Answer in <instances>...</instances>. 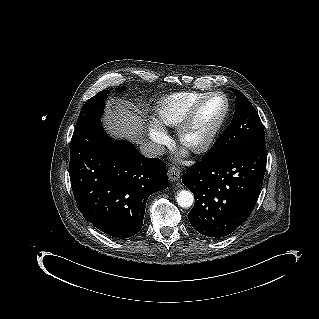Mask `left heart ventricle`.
Here are the masks:
<instances>
[{"mask_svg": "<svg viewBox=\"0 0 319 319\" xmlns=\"http://www.w3.org/2000/svg\"><path fill=\"white\" fill-rule=\"evenodd\" d=\"M224 107L222 99L215 97L209 100L198 112L194 122L185 134V141L188 144H197L209 133Z\"/></svg>", "mask_w": 319, "mask_h": 319, "instance_id": "1", "label": "left heart ventricle"}]
</instances>
